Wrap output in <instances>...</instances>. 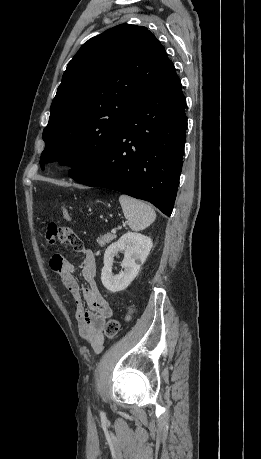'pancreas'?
Here are the masks:
<instances>
[{"label": "pancreas", "instance_id": "obj_1", "mask_svg": "<svg viewBox=\"0 0 261 459\" xmlns=\"http://www.w3.org/2000/svg\"><path fill=\"white\" fill-rule=\"evenodd\" d=\"M115 238H116L115 234L107 233V234H104V235H100V237L97 238V243L100 246H105L106 244H108L112 240H114Z\"/></svg>", "mask_w": 261, "mask_h": 459}]
</instances>
